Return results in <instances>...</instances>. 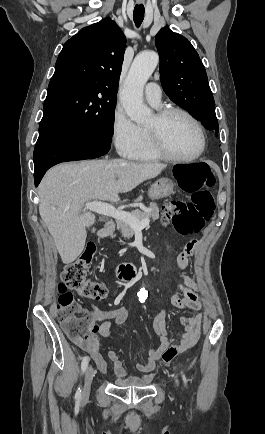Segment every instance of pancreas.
Listing matches in <instances>:
<instances>
[{
  "instance_id": "1",
  "label": "pancreas",
  "mask_w": 265,
  "mask_h": 434,
  "mask_svg": "<svg viewBox=\"0 0 265 434\" xmlns=\"http://www.w3.org/2000/svg\"><path fill=\"white\" fill-rule=\"evenodd\" d=\"M134 218H138L140 222L142 220H152V222H155V220H158L159 218V208L155 202H151L149 204V208H146V212H141V210H133L132 212ZM117 230H121L122 236L124 238H132L135 230L134 228H131L129 224H126V222H120V220H117ZM107 236H111V238H114L113 232H108Z\"/></svg>"
}]
</instances>
